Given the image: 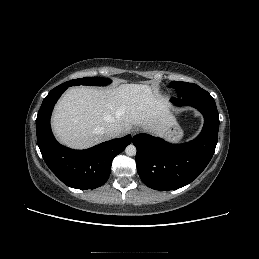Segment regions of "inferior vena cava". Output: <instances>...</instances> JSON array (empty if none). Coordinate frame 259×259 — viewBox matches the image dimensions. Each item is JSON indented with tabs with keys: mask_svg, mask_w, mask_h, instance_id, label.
I'll use <instances>...</instances> for the list:
<instances>
[{
	"mask_svg": "<svg viewBox=\"0 0 259 259\" xmlns=\"http://www.w3.org/2000/svg\"><path fill=\"white\" fill-rule=\"evenodd\" d=\"M104 133L108 138L118 137L122 133V128L117 124H110L104 130Z\"/></svg>",
	"mask_w": 259,
	"mask_h": 259,
	"instance_id": "inferior-vena-cava-1",
	"label": "inferior vena cava"
}]
</instances>
